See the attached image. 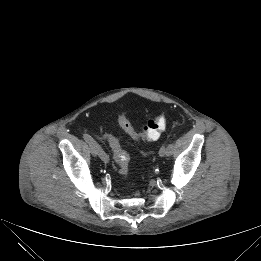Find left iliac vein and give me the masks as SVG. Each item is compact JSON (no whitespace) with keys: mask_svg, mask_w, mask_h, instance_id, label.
I'll return each instance as SVG.
<instances>
[{"mask_svg":"<svg viewBox=\"0 0 261 261\" xmlns=\"http://www.w3.org/2000/svg\"><path fill=\"white\" fill-rule=\"evenodd\" d=\"M167 154V147L166 146H162L159 150V156L163 157Z\"/></svg>","mask_w":261,"mask_h":261,"instance_id":"1","label":"left iliac vein"}]
</instances>
